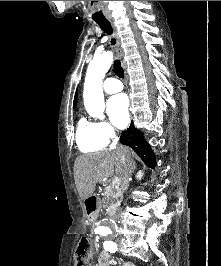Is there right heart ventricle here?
<instances>
[{
  "label": "right heart ventricle",
  "mask_w": 221,
  "mask_h": 266,
  "mask_svg": "<svg viewBox=\"0 0 221 266\" xmlns=\"http://www.w3.org/2000/svg\"><path fill=\"white\" fill-rule=\"evenodd\" d=\"M76 143L80 151L90 153L104 149L108 140L101 135L96 123L81 118L77 125Z\"/></svg>",
  "instance_id": "e07e8e85"
}]
</instances>
